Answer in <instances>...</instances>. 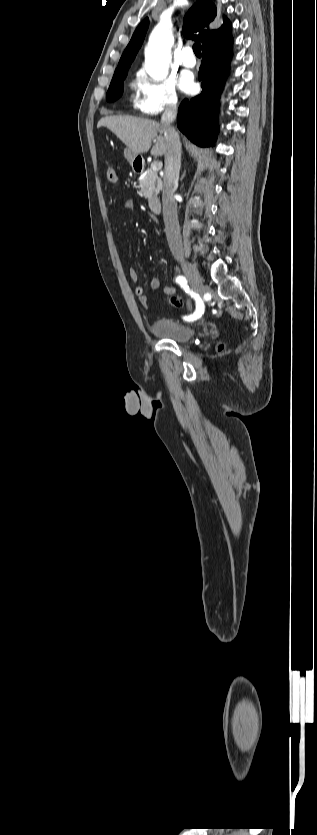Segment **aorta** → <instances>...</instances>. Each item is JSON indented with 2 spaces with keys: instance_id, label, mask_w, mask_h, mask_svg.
Wrapping results in <instances>:
<instances>
[{
  "instance_id": "aorta-1",
  "label": "aorta",
  "mask_w": 317,
  "mask_h": 835,
  "mask_svg": "<svg viewBox=\"0 0 317 835\" xmlns=\"http://www.w3.org/2000/svg\"><path fill=\"white\" fill-rule=\"evenodd\" d=\"M173 43L174 37L170 23L161 21L153 29L145 49V70L154 81L159 82L167 77Z\"/></svg>"
}]
</instances>
